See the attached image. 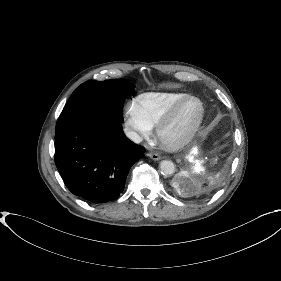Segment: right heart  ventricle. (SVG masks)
Returning <instances> with one entry per match:
<instances>
[{
  "mask_svg": "<svg viewBox=\"0 0 281 281\" xmlns=\"http://www.w3.org/2000/svg\"><path fill=\"white\" fill-rule=\"evenodd\" d=\"M181 92H148L139 95L135 103L143 120L151 127H157L168 111L184 97Z\"/></svg>",
  "mask_w": 281,
  "mask_h": 281,
  "instance_id": "right-heart-ventricle-1",
  "label": "right heart ventricle"
}]
</instances>
